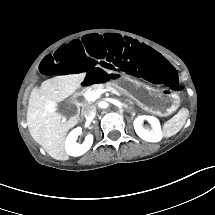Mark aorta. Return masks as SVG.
<instances>
[{
    "mask_svg": "<svg viewBox=\"0 0 215 215\" xmlns=\"http://www.w3.org/2000/svg\"><path fill=\"white\" fill-rule=\"evenodd\" d=\"M98 107L101 109H104L107 107V103L105 101H99L98 102Z\"/></svg>",
    "mask_w": 215,
    "mask_h": 215,
    "instance_id": "aorta-1",
    "label": "aorta"
}]
</instances>
